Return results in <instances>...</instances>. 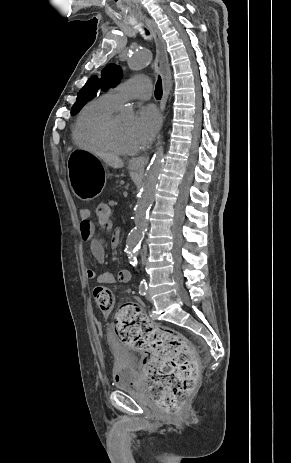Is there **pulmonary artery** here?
Masks as SVG:
<instances>
[{"label":"pulmonary artery","instance_id":"pulmonary-artery-1","mask_svg":"<svg viewBox=\"0 0 291 463\" xmlns=\"http://www.w3.org/2000/svg\"><path fill=\"white\" fill-rule=\"evenodd\" d=\"M152 85L148 76L138 75L130 78L110 90V94L117 104H122L130 99L147 100L151 96Z\"/></svg>","mask_w":291,"mask_h":463}]
</instances>
